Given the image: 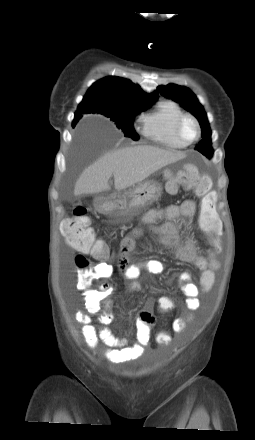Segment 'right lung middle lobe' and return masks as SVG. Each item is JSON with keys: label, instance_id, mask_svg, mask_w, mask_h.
<instances>
[{"label": "right lung middle lobe", "instance_id": "dd1d6c3e", "mask_svg": "<svg viewBox=\"0 0 255 440\" xmlns=\"http://www.w3.org/2000/svg\"><path fill=\"white\" fill-rule=\"evenodd\" d=\"M151 104L152 102L112 104L84 97L78 106L76 114L79 116V119L82 117V114L86 113L103 114L113 120L119 129L123 130L125 137H130L136 141L139 139V136L132 127L134 116L148 109Z\"/></svg>", "mask_w": 255, "mask_h": 440}]
</instances>
